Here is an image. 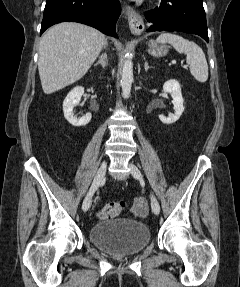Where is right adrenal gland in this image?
I'll return each instance as SVG.
<instances>
[{"mask_svg": "<svg viewBox=\"0 0 240 287\" xmlns=\"http://www.w3.org/2000/svg\"><path fill=\"white\" fill-rule=\"evenodd\" d=\"M101 65L103 68L106 67L107 65V54L106 53H103L100 57H99V60L96 62L95 66L96 65Z\"/></svg>", "mask_w": 240, "mask_h": 287, "instance_id": "obj_1", "label": "right adrenal gland"}]
</instances>
